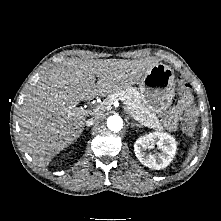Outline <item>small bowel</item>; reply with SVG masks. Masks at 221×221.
<instances>
[{
	"mask_svg": "<svg viewBox=\"0 0 221 221\" xmlns=\"http://www.w3.org/2000/svg\"><path fill=\"white\" fill-rule=\"evenodd\" d=\"M183 112H193L195 114L196 108L192 105V98L186 99L182 97L179 102L170 110L164 119L165 126L170 130H175L177 121Z\"/></svg>",
	"mask_w": 221,
	"mask_h": 221,
	"instance_id": "c3829d8e",
	"label": "small bowel"
}]
</instances>
